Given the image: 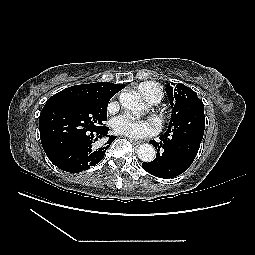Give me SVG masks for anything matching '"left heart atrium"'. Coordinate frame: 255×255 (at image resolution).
Here are the masks:
<instances>
[{
    "label": "left heart atrium",
    "mask_w": 255,
    "mask_h": 255,
    "mask_svg": "<svg viewBox=\"0 0 255 255\" xmlns=\"http://www.w3.org/2000/svg\"><path fill=\"white\" fill-rule=\"evenodd\" d=\"M113 130L133 138H146L158 131V123L152 118H137L129 114H121L111 121Z\"/></svg>",
    "instance_id": "obj_1"
}]
</instances>
